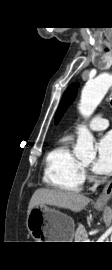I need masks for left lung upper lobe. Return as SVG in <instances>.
<instances>
[{
    "mask_svg": "<svg viewBox=\"0 0 112 270\" xmlns=\"http://www.w3.org/2000/svg\"><path fill=\"white\" fill-rule=\"evenodd\" d=\"M77 94V83L71 84L67 90L65 91L63 98L61 100V103L57 109L56 115H55V123L57 124L58 121L61 119L62 115L66 111L69 104L72 103L75 96Z\"/></svg>",
    "mask_w": 112,
    "mask_h": 270,
    "instance_id": "5c2ea615",
    "label": "left lung upper lobe"
}]
</instances>
